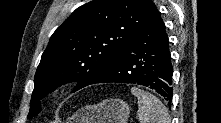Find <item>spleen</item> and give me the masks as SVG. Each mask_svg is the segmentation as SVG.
Instances as JSON below:
<instances>
[{"instance_id": "spleen-1", "label": "spleen", "mask_w": 221, "mask_h": 123, "mask_svg": "<svg viewBox=\"0 0 221 123\" xmlns=\"http://www.w3.org/2000/svg\"><path fill=\"white\" fill-rule=\"evenodd\" d=\"M131 93L138 99L140 123H170L168 110L157 97L137 87H132Z\"/></svg>"}]
</instances>
